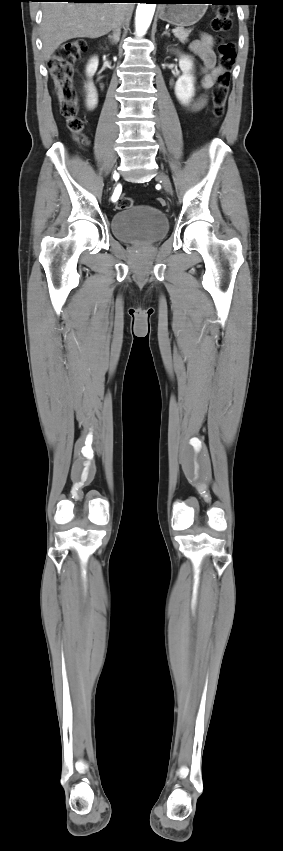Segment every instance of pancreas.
I'll list each match as a JSON object with an SVG mask.
<instances>
[{"label": "pancreas", "instance_id": "cf45deb5", "mask_svg": "<svg viewBox=\"0 0 283 851\" xmlns=\"http://www.w3.org/2000/svg\"><path fill=\"white\" fill-rule=\"evenodd\" d=\"M176 30H177L176 32H173L174 36L176 38H178L179 41H181L183 43L187 42L189 34L191 32V29L187 30V29H184L183 27H177Z\"/></svg>", "mask_w": 283, "mask_h": 851}]
</instances>
